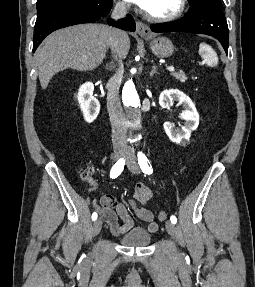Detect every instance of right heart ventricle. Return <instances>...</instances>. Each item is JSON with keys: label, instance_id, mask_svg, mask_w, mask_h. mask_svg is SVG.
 I'll use <instances>...</instances> for the list:
<instances>
[{"label": "right heart ventricle", "instance_id": "1", "mask_svg": "<svg viewBox=\"0 0 255 287\" xmlns=\"http://www.w3.org/2000/svg\"><path fill=\"white\" fill-rule=\"evenodd\" d=\"M130 39H132V38H130ZM135 39H141V38H135ZM131 48H141V47H131Z\"/></svg>", "mask_w": 255, "mask_h": 287}]
</instances>
